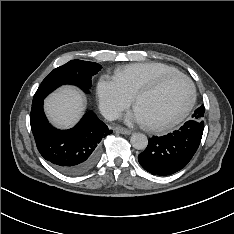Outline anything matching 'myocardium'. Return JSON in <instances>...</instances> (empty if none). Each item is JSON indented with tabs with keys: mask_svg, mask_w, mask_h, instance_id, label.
<instances>
[{
	"mask_svg": "<svg viewBox=\"0 0 234 234\" xmlns=\"http://www.w3.org/2000/svg\"><path fill=\"white\" fill-rule=\"evenodd\" d=\"M173 78H181L187 82V84L190 87L189 102H188L187 106L184 108V110L175 118H173L169 121L163 122V123H159V124H148V127L153 131L161 132V131L169 130V129L177 126L178 124H180L189 115V113L191 112V110L196 102V96H197L196 88H195L193 81L187 75H185L181 72L166 74V75H163L160 78L156 79L155 81L151 82L150 84L139 89L133 97V102H134V105L136 106L138 101L142 97L155 92L162 85H164L166 82H168L169 80H171Z\"/></svg>",
	"mask_w": 234,
	"mask_h": 234,
	"instance_id": "f54148a6",
	"label": "myocardium"
}]
</instances>
